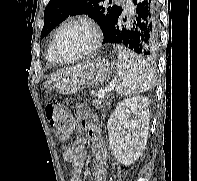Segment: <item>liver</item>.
<instances>
[{
  "label": "liver",
  "mask_w": 197,
  "mask_h": 181,
  "mask_svg": "<svg viewBox=\"0 0 197 181\" xmlns=\"http://www.w3.org/2000/svg\"><path fill=\"white\" fill-rule=\"evenodd\" d=\"M83 65H78L75 67H70V68H66V69H60L57 70L55 72H53L50 77L47 79V81L45 82V86H49L51 83L58 81L59 79H61L62 77L80 69Z\"/></svg>",
  "instance_id": "obj_1"
}]
</instances>
